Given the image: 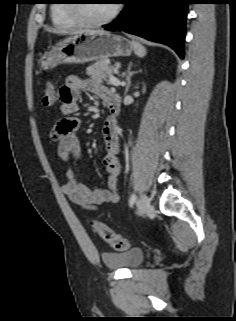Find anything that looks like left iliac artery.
Wrapping results in <instances>:
<instances>
[{
    "instance_id": "obj_1",
    "label": "left iliac artery",
    "mask_w": 236,
    "mask_h": 321,
    "mask_svg": "<svg viewBox=\"0 0 236 321\" xmlns=\"http://www.w3.org/2000/svg\"><path fill=\"white\" fill-rule=\"evenodd\" d=\"M135 200H136V196L135 194H132L129 200V205L133 206V204L135 203Z\"/></svg>"
}]
</instances>
